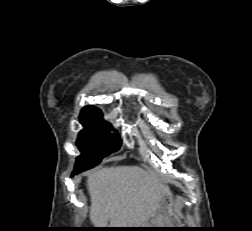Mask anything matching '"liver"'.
Listing matches in <instances>:
<instances>
[{"instance_id":"6515ba94","label":"liver","mask_w":252,"mask_h":231,"mask_svg":"<svg viewBox=\"0 0 252 231\" xmlns=\"http://www.w3.org/2000/svg\"><path fill=\"white\" fill-rule=\"evenodd\" d=\"M87 188L90 220L96 228L143 226L169 190L154 174L137 166L96 170L88 175Z\"/></svg>"}]
</instances>
